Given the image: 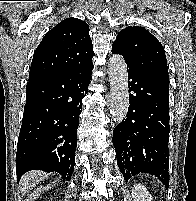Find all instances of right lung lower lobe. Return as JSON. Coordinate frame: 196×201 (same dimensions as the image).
<instances>
[{"label":"right lung lower lobe","instance_id":"right-lung-lower-lobe-1","mask_svg":"<svg viewBox=\"0 0 196 201\" xmlns=\"http://www.w3.org/2000/svg\"><path fill=\"white\" fill-rule=\"evenodd\" d=\"M93 67L27 83L16 153L18 180L27 171L39 169L58 172L70 181L82 99Z\"/></svg>","mask_w":196,"mask_h":201}]
</instances>
